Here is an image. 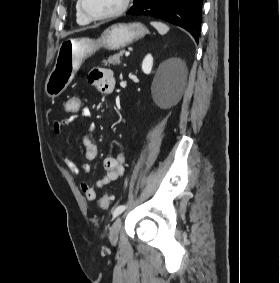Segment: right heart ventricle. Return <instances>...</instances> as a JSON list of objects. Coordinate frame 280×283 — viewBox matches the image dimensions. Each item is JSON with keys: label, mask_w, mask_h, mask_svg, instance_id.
Returning <instances> with one entry per match:
<instances>
[{"label": "right heart ventricle", "mask_w": 280, "mask_h": 283, "mask_svg": "<svg viewBox=\"0 0 280 283\" xmlns=\"http://www.w3.org/2000/svg\"><path fill=\"white\" fill-rule=\"evenodd\" d=\"M75 17H76V21L78 24L80 25H86L90 22V20H88L81 12L80 8H79V3L78 0L76 1L75 4Z\"/></svg>", "instance_id": "obj_1"}]
</instances>
